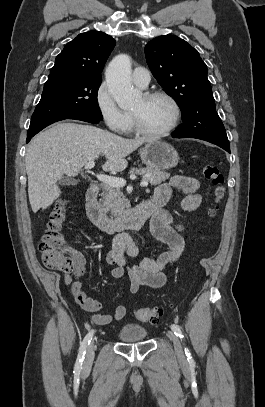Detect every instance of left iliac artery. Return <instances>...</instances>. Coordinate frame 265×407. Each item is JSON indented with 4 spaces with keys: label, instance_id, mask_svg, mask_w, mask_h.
<instances>
[{
    "label": "left iliac artery",
    "instance_id": "1",
    "mask_svg": "<svg viewBox=\"0 0 265 407\" xmlns=\"http://www.w3.org/2000/svg\"><path fill=\"white\" fill-rule=\"evenodd\" d=\"M171 329H172V331L174 332V334H175L176 336L180 337L181 339L184 338V335H183V333H182V331H181V329H180L179 326L173 324V325H171ZM185 353H186V356L188 357V361L193 362V358H192V356H191V353H190V352H187L186 349H185Z\"/></svg>",
    "mask_w": 265,
    "mask_h": 407
}]
</instances>
